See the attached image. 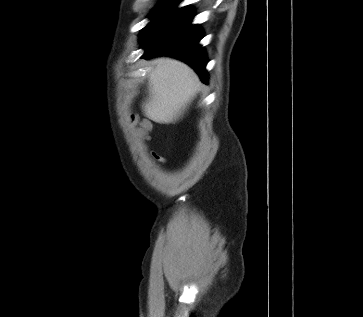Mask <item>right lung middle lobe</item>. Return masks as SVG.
I'll use <instances>...</instances> for the list:
<instances>
[{
  "instance_id": "dd1d6c3e",
  "label": "right lung middle lobe",
  "mask_w": 363,
  "mask_h": 317,
  "mask_svg": "<svg viewBox=\"0 0 363 317\" xmlns=\"http://www.w3.org/2000/svg\"><path fill=\"white\" fill-rule=\"evenodd\" d=\"M181 0H166L156 7L150 15L152 21L143 29L142 35L146 33L161 17L172 11Z\"/></svg>"
}]
</instances>
